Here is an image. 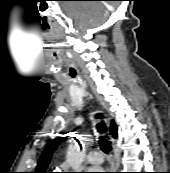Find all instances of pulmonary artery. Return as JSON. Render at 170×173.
<instances>
[{"mask_svg": "<svg viewBox=\"0 0 170 173\" xmlns=\"http://www.w3.org/2000/svg\"><path fill=\"white\" fill-rule=\"evenodd\" d=\"M87 160L92 165H100L103 162V155L98 150H91L87 154Z\"/></svg>", "mask_w": 170, "mask_h": 173, "instance_id": "pulmonary-artery-1", "label": "pulmonary artery"}]
</instances>
